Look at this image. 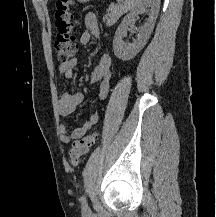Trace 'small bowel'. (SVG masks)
<instances>
[{
    "instance_id": "c3829d8e",
    "label": "small bowel",
    "mask_w": 216,
    "mask_h": 217,
    "mask_svg": "<svg viewBox=\"0 0 216 217\" xmlns=\"http://www.w3.org/2000/svg\"><path fill=\"white\" fill-rule=\"evenodd\" d=\"M100 38V31L97 17L93 13H87L84 17V32L81 36V42L87 44L91 38ZM77 58L71 59L67 63H60L58 70L64 77L71 80L74 76V70L77 66ZM111 63L112 59L109 53H105L95 70L90 76L91 84H99V98L105 100L110 90L111 81ZM84 95L79 91H68L62 94L57 102V110L60 116L66 117L72 114L78 105L83 102ZM99 121L98 112L92 113L87 121L81 126L68 131L65 125L59 128V137L63 143L76 141L83 137Z\"/></svg>"
}]
</instances>
